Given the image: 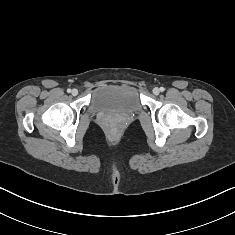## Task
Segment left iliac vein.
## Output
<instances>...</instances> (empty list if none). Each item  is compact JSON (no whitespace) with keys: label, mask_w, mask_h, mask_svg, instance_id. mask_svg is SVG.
I'll return each instance as SVG.
<instances>
[{"label":"left iliac vein","mask_w":235,"mask_h":235,"mask_svg":"<svg viewBox=\"0 0 235 235\" xmlns=\"http://www.w3.org/2000/svg\"><path fill=\"white\" fill-rule=\"evenodd\" d=\"M154 95H158L160 93V89L158 87L153 88L152 90Z\"/></svg>","instance_id":"left-iliac-vein-1"}]
</instances>
